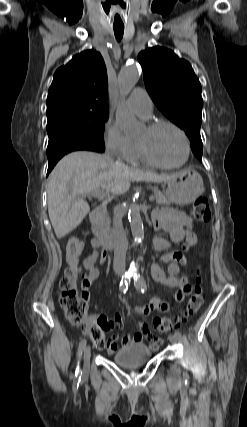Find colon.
Listing matches in <instances>:
<instances>
[{"mask_svg": "<svg viewBox=\"0 0 247 427\" xmlns=\"http://www.w3.org/2000/svg\"><path fill=\"white\" fill-rule=\"evenodd\" d=\"M192 215L200 222H208L210 220L211 211L206 197L201 196L194 201ZM83 247L84 242L79 237H71L66 244L68 267L60 281L59 304L69 322L76 326H82L94 346L102 349L106 348L108 344L104 337V330L99 324L87 320L86 300L78 291V260L83 252ZM202 303L201 279L198 277L184 310L175 316L155 318L153 325L162 332L178 329L189 317L199 311Z\"/></svg>", "mask_w": 247, "mask_h": 427, "instance_id": "1", "label": "colon"}]
</instances>
